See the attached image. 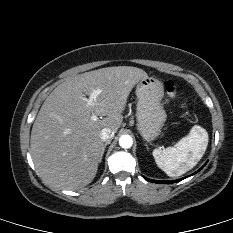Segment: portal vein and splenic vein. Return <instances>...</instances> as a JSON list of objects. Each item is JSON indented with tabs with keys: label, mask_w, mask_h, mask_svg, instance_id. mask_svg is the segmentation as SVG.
Instances as JSON below:
<instances>
[{
	"label": "portal vein and splenic vein",
	"mask_w": 233,
	"mask_h": 233,
	"mask_svg": "<svg viewBox=\"0 0 233 233\" xmlns=\"http://www.w3.org/2000/svg\"><path fill=\"white\" fill-rule=\"evenodd\" d=\"M100 92L95 90L93 93L90 94L89 98H84V100L87 101L88 105L92 106L94 104L95 98L96 96L99 94ZM92 120L96 121L98 119V117L93 114L91 117Z\"/></svg>",
	"instance_id": "portal-vein-and-splenic-vein-1"
}]
</instances>
